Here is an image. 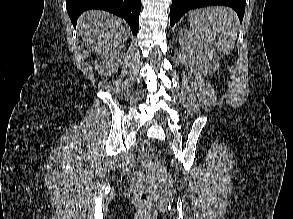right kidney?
<instances>
[{"mask_svg": "<svg viewBox=\"0 0 293 219\" xmlns=\"http://www.w3.org/2000/svg\"><path fill=\"white\" fill-rule=\"evenodd\" d=\"M121 64V58L116 53H109L108 55H103L100 59L96 60L94 63L95 69L100 75H110L115 73Z\"/></svg>", "mask_w": 293, "mask_h": 219, "instance_id": "ca27d5eb", "label": "right kidney"}]
</instances>
